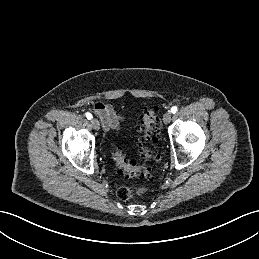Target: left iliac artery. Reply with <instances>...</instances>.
<instances>
[{
	"instance_id": "obj_1",
	"label": "left iliac artery",
	"mask_w": 259,
	"mask_h": 259,
	"mask_svg": "<svg viewBox=\"0 0 259 259\" xmlns=\"http://www.w3.org/2000/svg\"><path fill=\"white\" fill-rule=\"evenodd\" d=\"M177 110H178V108H177L176 106H173V107L171 108V113H172V114H175V113L177 112Z\"/></svg>"
}]
</instances>
